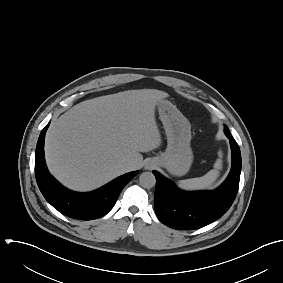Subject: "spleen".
I'll return each instance as SVG.
<instances>
[{"mask_svg": "<svg viewBox=\"0 0 283 283\" xmlns=\"http://www.w3.org/2000/svg\"><path fill=\"white\" fill-rule=\"evenodd\" d=\"M222 152H219V158L214 164V169L210 170L202 177L180 180L178 181V187L185 191H196L208 189L217 180L222 169Z\"/></svg>", "mask_w": 283, "mask_h": 283, "instance_id": "1", "label": "spleen"}]
</instances>
